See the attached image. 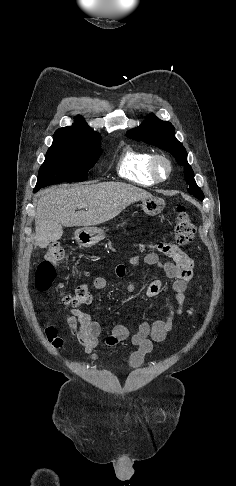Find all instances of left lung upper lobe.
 <instances>
[{"label":"left lung upper lobe","instance_id":"left-lung-upper-lobe-1","mask_svg":"<svg viewBox=\"0 0 236 486\" xmlns=\"http://www.w3.org/2000/svg\"><path fill=\"white\" fill-rule=\"evenodd\" d=\"M127 136L136 141L142 140L170 152L176 158L177 163L184 166L185 179L189 185L188 192L197 199L203 200V193L197 186L193 170L187 162V152L175 138V129L170 122L162 121L152 114L139 127L128 131Z\"/></svg>","mask_w":236,"mask_h":486}]
</instances>
